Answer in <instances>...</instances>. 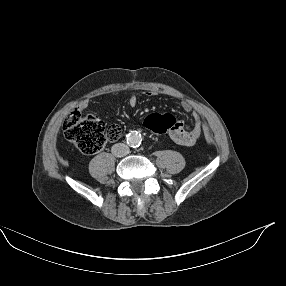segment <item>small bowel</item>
<instances>
[{"label":"small bowel","instance_id":"obj_1","mask_svg":"<svg viewBox=\"0 0 286 286\" xmlns=\"http://www.w3.org/2000/svg\"><path fill=\"white\" fill-rule=\"evenodd\" d=\"M146 96L152 97L156 95L155 91H147L145 92ZM128 105L130 107H135L138 104V97L136 94L132 93L128 97ZM81 109H85L87 107L86 103L81 104ZM184 109L187 111L191 110V106L188 103L184 104ZM196 116H198L196 114ZM202 131V126L198 120L192 125L188 126L184 122L179 121L177 127L168 132L170 138L180 146H192L199 139Z\"/></svg>","mask_w":286,"mask_h":286}]
</instances>
